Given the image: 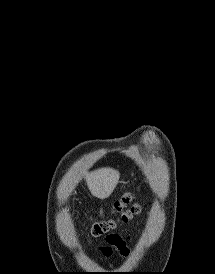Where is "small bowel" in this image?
I'll list each match as a JSON object with an SVG mask.
<instances>
[{"mask_svg":"<svg viewBox=\"0 0 215 274\" xmlns=\"http://www.w3.org/2000/svg\"><path fill=\"white\" fill-rule=\"evenodd\" d=\"M118 251L122 256H127L129 249L125 239L118 234H110L106 237V245L100 247V251L106 257L112 255L113 251Z\"/></svg>","mask_w":215,"mask_h":274,"instance_id":"small-bowel-1","label":"small bowel"}]
</instances>
